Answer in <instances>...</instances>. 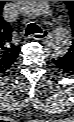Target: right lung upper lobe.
Returning a JSON list of instances; mask_svg holds the SVG:
<instances>
[{
    "mask_svg": "<svg viewBox=\"0 0 74 122\" xmlns=\"http://www.w3.org/2000/svg\"><path fill=\"white\" fill-rule=\"evenodd\" d=\"M5 2L0 1V74L5 73L15 62L19 49L13 43L11 26L1 16Z\"/></svg>",
    "mask_w": 74,
    "mask_h": 122,
    "instance_id": "1",
    "label": "right lung upper lobe"
}]
</instances>
